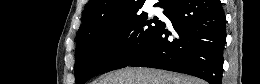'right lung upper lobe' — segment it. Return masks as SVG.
Instances as JSON below:
<instances>
[{"label":"right lung upper lobe","instance_id":"right-lung-upper-lobe-1","mask_svg":"<svg viewBox=\"0 0 260 84\" xmlns=\"http://www.w3.org/2000/svg\"><path fill=\"white\" fill-rule=\"evenodd\" d=\"M176 0H159L155 6L166 9ZM145 0H89L84 13L83 22L77 40L88 34L89 30L101 21H118L127 16L139 13ZM76 40V41H77Z\"/></svg>","mask_w":260,"mask_h":84}]
</instances>
